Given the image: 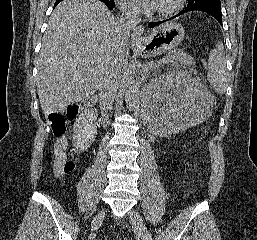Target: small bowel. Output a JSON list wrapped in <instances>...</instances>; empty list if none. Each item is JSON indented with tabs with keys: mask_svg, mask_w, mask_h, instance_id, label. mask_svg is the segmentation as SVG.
I'll list each match as a JSON object with an SVG mask.
<instances>
[{
	"mask_svg": "<svg viewBox=\"0 0 257 240\" xmlns=\"http://www.w3.org/2000/svg\"><path fill=\"white\" fill-rule=\"evenodd\" d=\"M67 141L59 138L54 143V155L56 158H64L66 155Z\"/></svg>",
	"mask_w": 257,
	"mask_h": 240,
	"instance_id": "small-bowel-1",
	"label": "small bowel"
}]
</instances>
